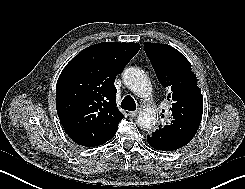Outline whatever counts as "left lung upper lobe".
<instances>
[{"instance_id": "1", "label": "left lung upper lobe", "mask_w": 245, "mask_h": 189, "mask_svg": "<svg viewBox=\"0 0 245 189\" xmlns=\"http://www.w3.org/2000/svg\"><path fill=\"white\" fill-rule=\"evenodd\" d=\"M144 50L161 85L171 90L172 115L166 124L152 132V138L168 151L188 144L195 136L202 118L203 97L191 63L166 44L144 43Z\"/></svg>"}]
</instances>
